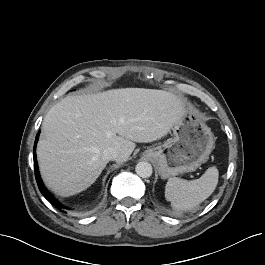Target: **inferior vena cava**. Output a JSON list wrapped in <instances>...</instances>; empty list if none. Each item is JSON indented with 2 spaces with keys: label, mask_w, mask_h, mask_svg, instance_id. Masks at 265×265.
Instances as JSON below:
<instances>
[{
  "label": "inferior vena cava",
  "mask_w": 265,
  "mask_h": 265,
  "mask_svg": "<svg viewBox=\"0 0 265 265\" xmlns=\"http://www.w3.org/2000/svg\"><path fill=\"white\" fill-rule=\"evenodd\" d=\"M103 156L106 160H117L119 154L115 148H108L104 150Z\"/></svg>",
  "instance_id": "1"
}]
</instances>
